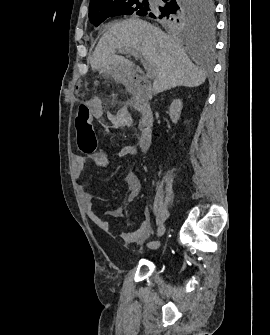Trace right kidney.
<instances>
[{"instance_id": "right-kidney-1", "label": "right kidney", "mask_w": 270, "mask_h": 335, "mask_svg": "<svg viewBox=\"0 0 270 335\" xmlns=\"http://www.w3.org/2000/svg\"><path fill=\"white\" fill-rule=\"evenodd\" d=\"M182 110V102L181 100H173L170 108H169V116L173 122V124H177L180 118V112Z\"/></svg>"}]
</instances>
